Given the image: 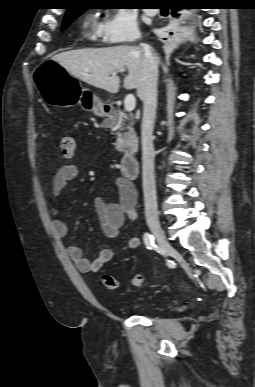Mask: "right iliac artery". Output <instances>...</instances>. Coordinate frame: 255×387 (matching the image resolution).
Returning <instances> with one entry per match:
<instances>
[{"instance_id": "82829eb1", "label": "right iliac artery", "mask_w": 255, "mask_h": 387, "mask_svg": "<svg viewBox=\"0 0 255 387\" xmlns=\"http://www.w3.org/2000/svg\"><path fill=\"white\" fill-rule=\"evenodd\" d=\"M143 240H144V243H145V246L147 249L151 250L155 247L153 235H151L149 233H145Z\"/></svg>"}]
</instances>
